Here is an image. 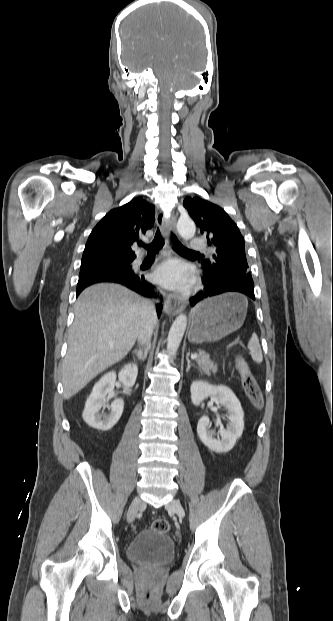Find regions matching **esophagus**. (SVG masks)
<instances>
[{
  "instance_id": "34e87169",
  "label": "esophagus",
  "mask_w": 333,
  "mask_h": 621,
  "mask_svg": "<svg viewBox=\"0 0 333 621\" xmlns=\"http://www.w3.org/2000/svg\"><path fill=\"white\" fill-rule=\"evenodd\" d=\"M156 221L167 239L170 236V232H176V218L174 215H172L169 219H165L162 213H158ZM186 305L187 301L185 299L179 296L170 295L165 300L164 311L169 316H175L181 312Z\"/></svg>"
}]
</instances>
